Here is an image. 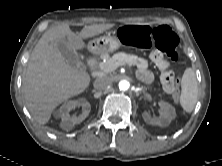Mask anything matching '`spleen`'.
<instances>
[{"label":"spleen","mask_w":222,"mask_h":166,"mask_svg":"<svg viewBox=\"0 0 222 166\" xmlns=\"http://www.w3.org/2000/svg\"><path fill=\"white\" fill-rule=\"evenodd\" d=\"M182 93L180 104L182 108L191 113L196 105L198 98V84L196 75L193 69L187 68L181 79Z\"/></svg>","instance_id":"3e777b00"}]
</instances>
